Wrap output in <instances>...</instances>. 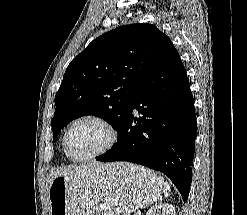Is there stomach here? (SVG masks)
Here are the masks:
<instances>
[{"mask_svg":"<svg viewBox=\"0 0 247 215\" xmlns=\"http://www.w3.org/2000/svg\"><path fill=\"white\" fill-rule=\"evenodd\" d=\"M163 179L129 163L90 168L83 176H58L49 187V215H130L154 203Z\"/></svg>","mask_w":247,"mask_h":215,"instance_id":"1","label":"stomach"}]
</instances>
